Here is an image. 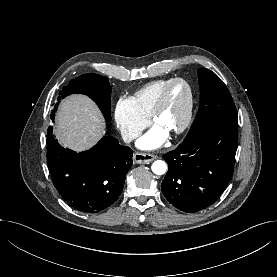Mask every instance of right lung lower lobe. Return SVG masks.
Instances as JSON below:
<instances>
[{"mask_svg":"<svg viewBox=\"0 0 277 277\" xmlns=\"http://www.w3.org/2000/svg\"><path fill=\"white\" fill-rule=\"evenodd\" d=\"M54 108L51 119L54 122ZM133 151L112 136L102 138L88 151L63 148L48 128L47 161L54 186L74 208L98 213L112 205L123 190Z\"/></svg>","mask_w":277,"mask_h":277,"instance_id":"98d812e1","label":"right lung lower lobe"}]
</instances>
